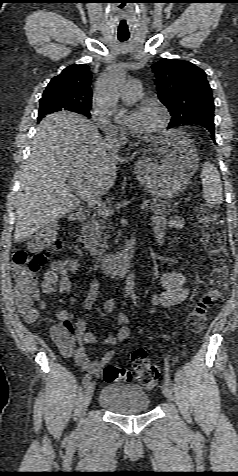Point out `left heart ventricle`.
<instances>
[{
	"label": "left heart ventricle",
	"instance_id": "left-heart-ventricle-1",
	"mask_svg": "<svg viewBox=\"0 0 238 476\" xmlns=\"http://www.w3.org/2000/svg\"><path fill=\"white\" fill-rule=\"evenodd\" d=\"M141 109L144 111V121L139 134L145 135L156 126L159 116L158 113L151 107H142Z\"/></svg>",
	"mask_w": 238,
	"mask_h": 476
}]
</instances>
